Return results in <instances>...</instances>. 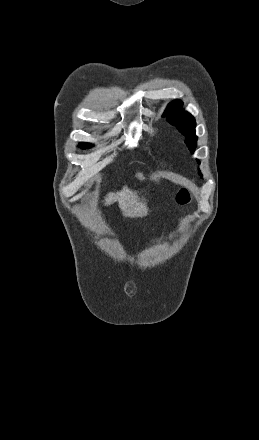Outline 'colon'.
Wrapping results in <instances>:
<instances>
[{"label": "colon", "instance_id": "1", "mask_svg": "<svg viewBox=\"0 0 259 440\" xmlns=\"http://www.w3.org/2000/svg\"><path fill=\"white\" fill-rule=\"evenodd\" d=\"M191 199V192L187 188H182L177 194V203L182 206L190 203Z\"/></svg>", "mask_w": 259, "mask_h": 440}]
</instances>
